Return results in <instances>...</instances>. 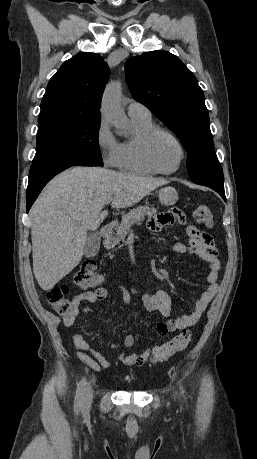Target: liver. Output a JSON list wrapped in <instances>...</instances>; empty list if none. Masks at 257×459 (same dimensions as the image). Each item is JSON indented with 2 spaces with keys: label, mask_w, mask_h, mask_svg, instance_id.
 Here are the masks:
<instances>
[{
  "label": "liver",
  "mask_w": 257,
  "mask_h": 459,
  "mask_svg": "<svg viewBox=\"0 0 257 459\" xmlns=\"http://www.w3.org/2000/svg\"><path fill=\"white\" fill-rule=\"evenodd\" d=\"M169 181L99 167H74L45 187L30 210L34 276L43 290L53 288L81 261L88 230H96L113 208L135 205Z\"/></svg>",
  "instance_id": "obj_1"
}]
</instances>
